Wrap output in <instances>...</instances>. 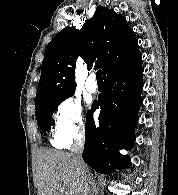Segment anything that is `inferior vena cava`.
<instances>
[{"label":"inferior vena cava","instance_id":"inferior-vena-cava-1","mask_svg":"<svg viewBox=\"0 0 178 195\" xmlns=\"http://www.w3.org/2000/svg\"><path fill=\"white\" fill-rule=\"evenodd\" d=\"M83 147H84V139L82 137H78L75 139L73 147H72V154L74 156L75 162L78 166V169L81 171V173L83 175H87L88 172L86 170V166L82 160V151H83ZM90 178V194L91 195H97L98 191L96 188V184L93 180V178H91L90 175H88Z\"/></svg>","mask_w":178,"mask_h":195}]
</instances>
